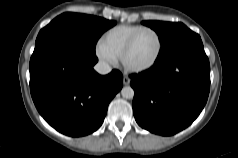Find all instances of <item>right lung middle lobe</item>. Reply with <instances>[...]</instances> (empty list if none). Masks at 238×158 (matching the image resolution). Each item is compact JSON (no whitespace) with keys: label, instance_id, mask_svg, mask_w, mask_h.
Segmentation results:
<instances>
[{"label":"right lung middle lobe","instance_id":"dd1d6c3e","mask_svg":"<svg viewBox=\"0 0 238 158\" xmlns=\"http://www.w3.org/2000/svg\"><path fill=\"white\" fill-rule=\"evenodd\" d=\"M115 24V21L97 16L63 13L41 29L35 46L48 38L61 37L88 52L95 53V45L100 36Z\"/></svg>","mask_w":238,"mask_h":158}]
</instances>
